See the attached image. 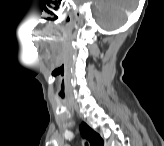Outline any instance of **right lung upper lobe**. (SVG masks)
Here are the masks:
<instances>
[{
	"mask_svg": "<svg viewBox=\"0 0 164 146\" xmlns=\"http://www.w3.org/2000/svg\"><path fill=\"white\" fill-rule=\"evenodd\" d=\"M81 132L87 136L92 146H103L104 142L102 138L94 132L87 124L83 123L81 126Z\"/></svg>",
	"mask_w": 164,
	"mask_h": 146,
	"instance_id": "cb5924a9",
	"label": "right lung upper lobe"
}]
</instances>
